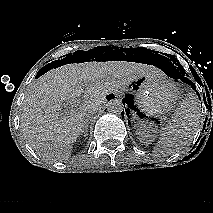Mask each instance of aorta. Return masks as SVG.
Masks as SVG:
<instances>
[{
  "label": "aorta",
  "instance_id": "762f6f07",
  "mask_svg": "<svg viewBox=\"0 0 213 213\" xmlns=\"http://www.w3.org/2000/svg\"><path fill=\"white\" fill-rule=\"evenodd\" d=\"M124 109V105L119 99H112L107 103L108 112L116 115H120Z\"/></svg>",
  "mask_w": 213,
  "mask_h": 213
}]
</instances>
